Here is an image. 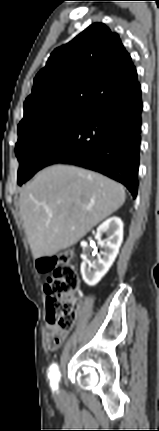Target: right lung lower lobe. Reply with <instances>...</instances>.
Masks as SVG:
<instances>
[{
	"mask_svg": "<svg viewBox=\"0 0 159 431\" xmlns=\"http://www.w3.org/2000/svg\"><path fill=\"white\" fill-rule=\"evenodd\" d=\"M142 109L138 82L89 113L47 153L42 168L68 163L94 170L125 185L135 198Z\"/></svg>",
	"mask_w": 159,
	"mask_h": 431,
	"instance_id": "98d812e1",
	"label": "right lung lower lobe"
}]
</instances>
